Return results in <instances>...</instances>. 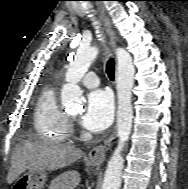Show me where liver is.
Instances as JSON below:
<instances>
[{
    "instance_id": "1",
    "label": "liver",
    "mask_w": 188,
    "mask_h": 189,
    "mask_svg": "<svg viewBox=\"0 0 188 189\" xmlns=\"http://www.w3.org/2000/svg\"><path fill=\"white\" fill-rule=\"evenodd\" d=\"M83 152L70 144L30 142L15 147L11 157V167L7 175L8 184H12L26 170L46 171L64 168L80 159ZM63 189H73L80 183V174L76 170L61 175Z\"/></svg>"
}]
</instances>
